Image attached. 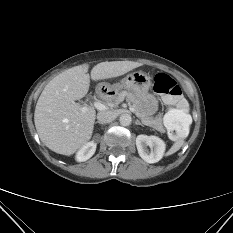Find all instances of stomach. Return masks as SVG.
I'll return each mask as SVG.
<instances>
[{
  "instance_id": "1",
  "label": "stomach",
  "mask_w": 233,
  "mask_h": 233,
  "mask_svg": "<svg viewBox=\"0 0 233 233\" xmlns=\"http://www.w3.org/2000/svg\"><path fill=\"white\" fill-rule=\"evenodd\" d=\"M99 87L106 88L107 91L118 92L126 89L133 92L138 100L141 112L146 116L154 115L158 111V99L154 94L149 92L151 78L142 71L132 72L113 85L101 83Z\"/></svg>"
}]
</instances>
